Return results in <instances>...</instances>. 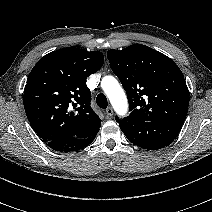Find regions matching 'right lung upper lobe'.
Listing matches in <instances>:
<instances>
[{"label": "right lung upper lobe", "mask_w": 212, "mask_h": 212, "mask_svg": "<svg viewBox=\"0 0 212 212\" xmlns=\"http://www.w3.org/2000/svg\"><path fill=\"white\" fill-rule=\"evenodd\" d=\"M103 62L99 51L67 47L45 55L34 66L23 103L32 128L44 142L65 136L87 138L98 133L101 119L90 106L86 79Z\"/></svg>", "instance_id": "1"}]
</instances>
